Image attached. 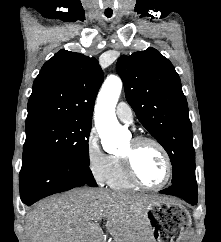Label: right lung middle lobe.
I'll list each match as a JSON object with an SVG mask.
<instances>
[{
	"label": "right lung middle lobe",
	"instance_id": "right-lung-middle-lobe-1",
	"mask_svg": "<svg viewBox=\"0 0 221 242\" xmlns=\"http://www.w3.org/2000/svg\"><path fill=\"white\" fill-rule=\"evenodd\" d=\"M92 120H54L26 126L23 153L43 151L89 165Z\"/></svg>",
	"mask_w": 221,
	"mask_h": 242
}]
</instances>
